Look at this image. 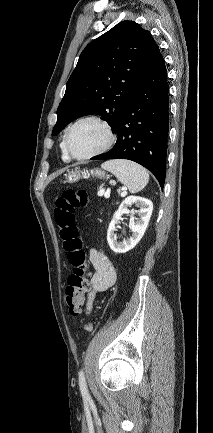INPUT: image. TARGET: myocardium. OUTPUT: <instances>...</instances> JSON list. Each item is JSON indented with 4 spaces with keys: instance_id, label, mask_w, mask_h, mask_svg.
I'll use <instances>...</instances> for the list:
<instances>
[{
    "instance_id": "1",
    "label": "myocardium",
    "mask_w": 213,
    "mask_h": 433,
    "mask_svg": "<svg viewBox=\"0 0 213 433\" xmlns=\"http://www.w3.org/2000/svg\"><path fill=\"white\" fill-rule=\"evenodd\" d=\"M84 122H94V123L98 124L99 126H101L104 129V131H105L106 141L103 144V146L100 147L98 150H96V151H94V152H92L90 154L84 155V156H77V155H75L72 152V150L70 148V143H69L70 135H71L72 131L78 125H80V124H82ZM115 140H116L115 133H114L112 127L109 125V123L107 121H105L104 119L100 118L99 116L89 115V116H85V117H82V118L76 120L68 128V130L66 131V133L64 135V146H65V150H66V152H67V154H68V156L70 158L75 159V160H87V159H90V158H93L95 156H98V155L106 152L107 150H109L113 146Z\"/></svg>"
}]
</instances>
